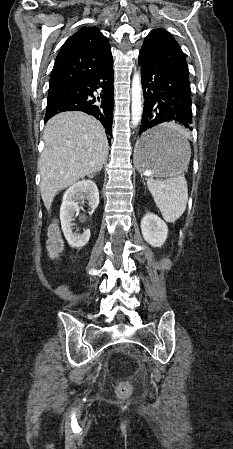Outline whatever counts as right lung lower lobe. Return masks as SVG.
Here are the masks:
<instances>
[{"mask_svg": "<svg viewBox=\"0 0 233 449\" xmlns=\"http://www.w3.org/2000/svg\"><path fill=\"white\" fill-rule=\"evenodd\" d=\"M112 62L98 73L73 86L78 92L76 97L47 106L44 121L47 122L60 112L83 111L96 117L103 124L106 133L110 135L114 94ZM98 88H101L102 91L96 95L94 91ZM108 141H111V137H108Z\"/></svg>", "mask_w": 233, "mask_h": 449, "instance_id": "obj_1", "label": "right lung lower lobe"}]
</instances>
